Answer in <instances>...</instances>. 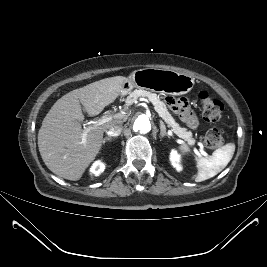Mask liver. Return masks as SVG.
<instances>
[{
    "mask_svg": "<svg viewBox=\"0 0 267 267\" xmlns=\"http://www.w3.org/2000/svg\"><path fill=\"white\" fill-rule=\"evenodd\" d=\"M128 78H105L75 89L58 99L45 116L38 132L41 157L57 176L77 181L95 159L103 143V134L112 125H122V116L97 127L82 129L81 104L90 116L98 115L120 95ZM87 131L86 142L82 134Z\"/></svg>",
    "mask_w": 267,
    "mask_h": 267,
    "instance_id": "6515ba94",
    "label": "liver"
}]
</instances>
